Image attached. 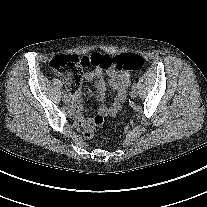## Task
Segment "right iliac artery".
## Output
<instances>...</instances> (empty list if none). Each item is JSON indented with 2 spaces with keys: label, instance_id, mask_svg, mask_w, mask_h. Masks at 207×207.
Returning <instances> with one entry per match:
<instances>
[{
  "label": "right iliac artery",
  "instance_id": "1",
  "mask_svg": "<svg viewBox=\"0 0 207 207\" xmlns=\"http://www.w3.org/2000/svg\"><path fill=\"white\" fill-rule=\"evenodd\" d=\"M63 96L66 97L67 95L63 93Z\"/></svg>",
  "mask_w": 207,
  "mask_h": 207
}]
</instances>
